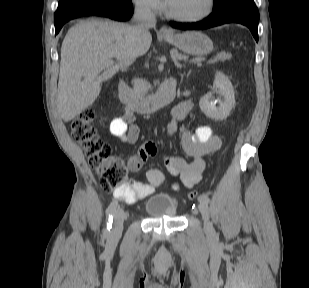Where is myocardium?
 <instances>
[{"instance_id": "f54148a6", "label": "myocardium", "mask_w": 309, "mask_h": 288, "mask_svg": "<svg viewBox=\"0 0 309 288\" xmlns=\"http://www.w3.org/2000/svg\"><path fill=\"white\" fill-rule=\"evenodd\" d=\"M214 6H215V0H207V8L203 13L196 15V16H183V15L174 13L170 9L169 5L166 4V14L170 18L177 20V21L186 22V23H196V22H200L208 18L212 14L214 10Z\"/></svg>"}]
</instances>
